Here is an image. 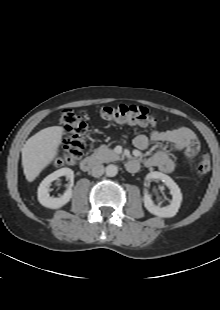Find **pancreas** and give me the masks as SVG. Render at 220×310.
<instances>
[{"instance_id": "1", "label": "pancreas", "mask_w": 220, "mask_h": 310, "mask_svg": "<svg viewBox=\"0 0 220 310\" xmlns=\"http://www.w3.org/2000/svg\"><path fill=\"white\" fill-rule=\"evenodd\" d=\"M92 156L101 163L116 161L120 158L118 154L109 149L107 146H101L95 149Z\"/></svg>"}]
</instances>
